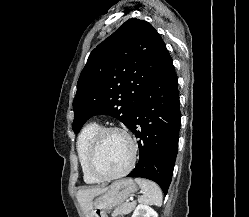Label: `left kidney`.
I'll return each instance as SVG.
<instances>
[{
    "instance_id": "obj_1",
    "label": "left kidney",
    "mask_w": 249,
    "mask_h": 217,
    "mask_svg": "<svg viewBox=\"0 0 249 217\" xmlns=\"http://www.w3.org/2000/svg\"><path fill=\"white\" fill-rule=\"evenodd\" d=\"M132 217H158L157 212L148 205L139 204Z\"/></svg>"
}]
</instances>
